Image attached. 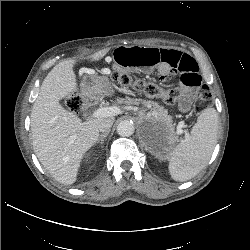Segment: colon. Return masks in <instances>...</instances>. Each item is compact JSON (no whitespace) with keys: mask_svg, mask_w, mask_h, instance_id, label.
<instances>
[{"mask_svg":"<svg viewBox=\"0 0 250 250\" xmlns=\"http://www.w3.org/2000/svg\"><path fill=\"white\" fill-rule=\"evenodd\" d=\"M112 78L123 87H131L138 93L145 94L149 97L159 98L168 105H174L182 99V93L178 88H165L154 82L134 80L131 76L118 72H114ZM211 103L212 94L209 88L207 86H202L193 105L194 113H202ZM66 106L74 113L80 112L83 107V101L80 95L76 92L69 95L66 99Z\"/></svg>","mask_w":250,"mask_h":250,"instance_id":"1","label":"colon"}]
</instances>
